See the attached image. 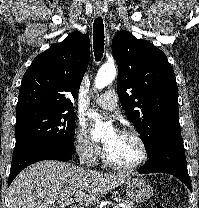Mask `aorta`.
<instances>
[{"label": "aorta", "instance_id": "762f6f07", "mask_svg": "<svg viewBox=\"0 0 199 208\" xmlns=\"http://www.w3.org/2000/svg\"><path fill=\"white\" fill-rule=\"evenodd\" d=\"M116 75L117 70L114 64L103 65L96 75L94 87L96 89H103L115 79ZM88 117L95 120V129L93 130L94 136H101L109 129V126L98 118L96 112L90 111Z\"/></svg>", "mask_w": 199, "mask_h": 208}]
</instances>
